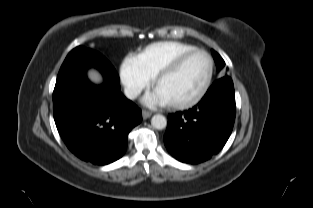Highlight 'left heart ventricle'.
I'll return each mask as SVG.
<instances>
[{
	"label": "left heart ventricle",
	"mask_w": 313,
	"mask_h": 208,
	"mask_svg": "<svg viewBox=\"0 0 313 208\" xmlns=\"http://www.w3.org/2000/svg\"><path fill=\"white\" fill-rule=\"evenodd\" d=\"M209 70L205 55L198 53L189 57L177 72L165 78L156 92L168 103L193 98L202 88Z\"/></svg>",
	"instance_id": "left-heart-ventricle-1"
}]
</instances>
